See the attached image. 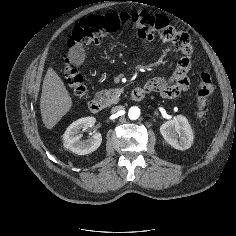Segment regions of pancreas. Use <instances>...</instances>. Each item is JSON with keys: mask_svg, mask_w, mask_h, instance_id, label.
Segmentation results:
<instances>
[{"mask_svg": "<svg viewBox=\"0 0 236 236\" xmlns=\"http://www.w3.org/2000/svg\"><path fill=\"white\" fill-rule=\"evenodd\" d=\"M122 88H115L109 90H103L97 93V98L103 102L106 106H110L119 101V97L122 94Z\"/></svg>", "mask_w": 236, "mask_h": 236, "instance_id": "1", "label": "pancreas"}]
</instances>
